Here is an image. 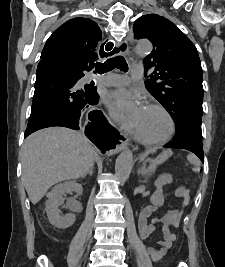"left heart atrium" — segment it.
I'll return each mask as SVG.
<instances>
[{
  "label": "left heart atrium",
  "mask_w": 225,
  "mask_h": 267,
  "mask_svg": "<svg viewBox=\"0 0 225 267\" xmlns=\"http://www.w3.org/2000/svg\"><path fill=\"white\" fill-rule=\"evenodd\" d=\"M106 100L108 105L117 115L124 119H128L133 124L136 123L138 115L143 109L139 101L138 95L127 89H120L110 92L107 95ZM130 104H133L135 106V109L131 116H127L126 108Z\"/></svg>",
  "instance_id": "obj_1"
}]
</instances>
